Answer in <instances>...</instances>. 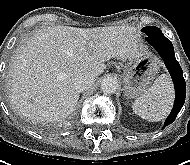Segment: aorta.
Masks as SVG:
<instances>
[{
    "instance_id": "aorta-1",
    "label": "aorta",
    "mask_w": 190,
    "mask_h": 165,
    "mask_svg": "<svg viewBox=\"0 0 190 165\" xmlns=\"http://www.w3.org/2000/svg\"><path fill=\"white\" fill-rule=\"evenodd\" d=\"M100 88L104 93L113 94L118 88V82L113 77H107L102 80Z\"/></svg>"
}]
</instances>
